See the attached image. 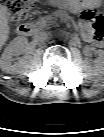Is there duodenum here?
<instances>
[{"instance_id":"obj_1","label":"duodenum","mask_w":104,"mask_h":137,"mask_svg":"<svg viewBox=\"0 0 104 137\" xmlns=\"http://www.w3.org/2000/svg\"><path fill=\"white\" fill-rule=\"evenodd\" d=\"M35 30L34 24L32 23H21L18 27V32L22 36H30Z\"/></svg>"}]
</instances>
